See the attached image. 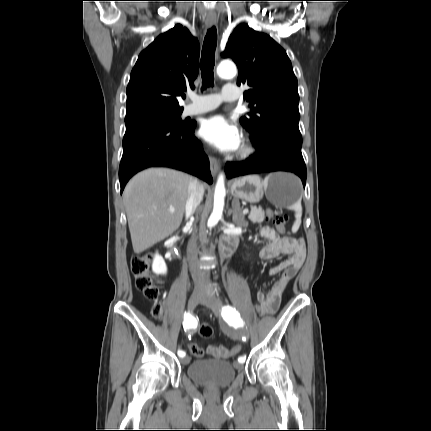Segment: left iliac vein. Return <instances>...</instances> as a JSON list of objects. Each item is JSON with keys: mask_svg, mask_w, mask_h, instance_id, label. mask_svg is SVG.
Returning a JSON list of instances; mask_svg holds the SVG:
<instances>
[{"mask_svg": "<svg viewBox=\"0 0 431 431\" xmlns=\"http://www.w3.org/2000/svg\"><path fill=\"white\" fill-rule=\"evenodd\" d=\"M200 303L210 308L216 316H220L221 309L223 308L222 301L216 296H203ZM236 367L238 369L243 368V364L236 362Z\"/></svg>", "mask_w": 431, "mask_h": 431, "instance_id": "left-iliac-vein-1", "label": "left iliac vein"}]
</instances>
